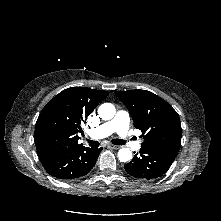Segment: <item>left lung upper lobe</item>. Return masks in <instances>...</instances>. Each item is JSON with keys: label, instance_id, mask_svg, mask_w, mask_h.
Returning a JSON list of instances; mask_svg holds the SVG:
<instances>
[{"label": "left lung upper lobe", "instance_id": "1", "mask_svg": "<svg viewBox=\"0 0 221 221\" xmlns=\"http://www.w3.org/2000/svg\"><path fill=\"white\" fill-rule=\"evenodd\" d=\"M131 113L135 128L141 130V146L177 154L182 129L177 112L162 98L146 90L115 92Z\"/></svg>", "mask_w": 221, "mask_h": 221}]
</instances>
